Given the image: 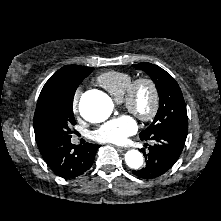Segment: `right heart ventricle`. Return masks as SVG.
Segmentation results:
<instances>
[{
	"label": "right heart ventricle",
	"instance_id": "1",
	"mask_svg": "<svg viewBox=\"0 0 221 221\" xmlns=\"http://www.w3.org/2000/svg\"><path fill=\"white\" fill-rule=\"evenodd\" d=\"M97 83L105 88L117 101H121L133 76L126 72L107 71L100 74Z\"/></svg>",
	"mask_w": 221,
	"mask_h": 221
}]
</instances>
